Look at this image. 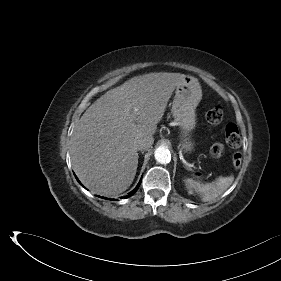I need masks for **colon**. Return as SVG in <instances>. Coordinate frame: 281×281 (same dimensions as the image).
Listing matches in <instances>:
<instances>
[{
  "instance_id": "obj_1",
  "label": "colon",
  "mask_w": 281,
  "mask_h": 281,
  "mask_svg": "<svg viewBox=\"0 0 281 281\" xmlns=\"http://www.w3.org/2000/svg\"><path fill=\"white\" fill-rule=\"evenodd\" d=\"M207 121L211 124H220L224 119V111L222 107L215 106L206 114ZM225 142L232 149H238L241 144V137L238 127L234 123H229L225 127ZM224 151V146L220 143L214 144L210 148V156L212 159H218ZM241 164V154L236 152L233 155V165L239 167Z\"/></svg>"
}]
</instances>
